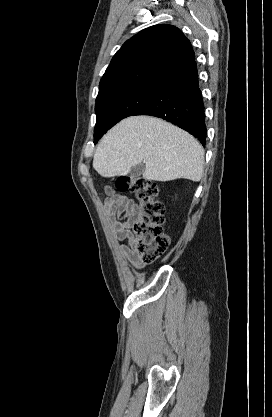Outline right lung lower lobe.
Segmentation results:
<instances>
[{"mask_svg": "<svg viewBox=\"0 0 272 417\" xmlns=\"http://www.w3.org/2000/svg\"><path fill=\"white\" fill-rule=\"evenodd\" d=\"M134 115L165 119L206 143L204 104L195 61L166 80L153 97Z\"/></svg>", "mask_w": 272, "mask_h": 417, "instance_id": "right-lung-lower-lobe-1", "label": "right lung lower lobe"}]
</instances>
